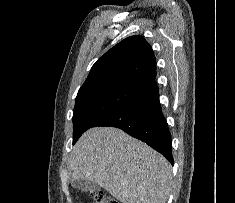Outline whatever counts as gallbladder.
Segmentation results:
<instances>
[{"instance_id": "gallbladder-1", "label": "gallbladder", "mask_w": 235, "mask_h": 203, "mask_svg": "<svg viewBox=\"0 0 235 203\" xmlns=\"http://www.w3.org/2000/svg\"><path fill=\"white\" fill-rule=\"evenodd\" d=\"M72 184L75 188L81 191L94 192L100 188L97 184L85 180H74Z\"/></svg>"}]
</instances>
